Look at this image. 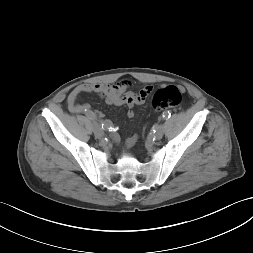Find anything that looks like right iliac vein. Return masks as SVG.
I'll list each match as a JSON object with an SVG mask.
<instances>
[{
    "label": "right iliac vein",
    "mask_w": 253,
    "mask_h": 253,
    "mask_svg": "<svg viewBox=\"0 0 253 253\" xmlns=\"http://www.w3.org/2000/svg\"><path fill=\"white\" fill-rule=\"evenodd\" d=\"M93 131H94L95 136L98 137V138H101L104 135L102 129L99 126V124L96 123V122L93 123Z\"/></svg>",
    "instance_id": "1"
}]
</instances>
